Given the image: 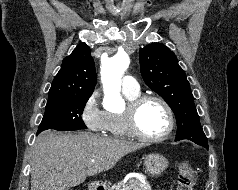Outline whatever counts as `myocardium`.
<instances>
[{
	"label": "myocardium",
	"mask_w": 238,
	"mask_h": 190,
	"mask_svg": "<svg viewBox=\"0 0 238 190\" xmlns=\"http://www.w3.org/2000/svg\"><path fill=\"white\" fill-rule=\"evenodd\" d=\"M149 101L158 102L165 109L168 115V128L163 134L159 136H149L143 133L138 126L137 118L139 110L145 103ZM125 119L130 134L133 137L145 142H161L167 139L175 128V116L172 108L163 98L156 95H139L138 97L130 100L125 109Z\"/></svg>",
	"instance_id": "obj_1"
}]
</instances>
